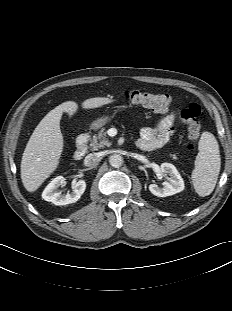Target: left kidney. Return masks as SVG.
Wrapping results in <instances>:
<instances>
[{
	"label": "left kidney",
	"instance_id": "left-kidney-1",
	"mask_svg": "<svg viewBox=\"0 0 232 311\" xmlns=\"http://www.w3.org/2000/svg\"><path fill=\"white\" fill-rule=\"evenodd\" d=\"M161 172L169 176V182H164L163 187L160 188L156 184H150V192L158 197L171 196L184 190V181L180 173L173 164L162 163Z\"/></svg>",
	"mask_w": 232,
	"mask_h": 311
}]
</instances>
